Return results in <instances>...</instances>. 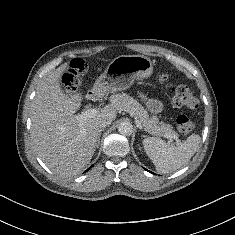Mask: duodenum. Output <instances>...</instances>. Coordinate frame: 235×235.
I'll return each mask as SVG.
<instances>
[{
	"label": "duodenum",
	"mask_w": 235,
	"mask_h": 235,
	"mask_svg": "<svg viewBox=\"0 0 235 235\" xmlns=\"http://www.w3.org/2000/svg\"><path fill=\"white\" fill-rule=\"evenodd\" d=\"M95 97V94L94 93H89V95H88V98L89 99H93Z\"/></svg>",
	"instance_id": "1"
}]
</instances>
